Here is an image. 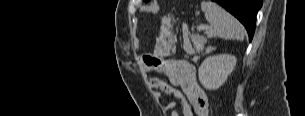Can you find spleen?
I'll return each instance as SVG.
<instances>
[{"label": "spleen", "mask_w": 305, "mask_h": 116, "mask_svg": "<svg viewBox=\"0 0 305 116\" xmlns=\"http://www.w3.org/2000/svg\"><path fill=\"white\" fill-rule=\"evenodd\" d=\"M201 9L210 27L207 30L208 37H220L223 39H244V29L237 19L222 7L211 1H203Z\"/></svg>", "instance_id": "3e777b00"}]
</instances>
